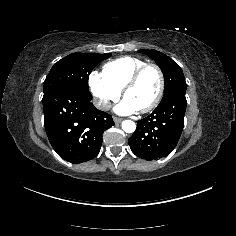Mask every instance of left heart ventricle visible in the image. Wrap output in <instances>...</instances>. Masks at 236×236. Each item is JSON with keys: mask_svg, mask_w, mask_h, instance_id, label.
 Returning <instances> with one entry per match:
<instances>
[{"mask_svg": "<svg viewBox=\"0 0 236 236\" xmlns=\"http://www.w3.org/2000/svg\"><path fill=\"white\" fill-rule=\"evenodd\" d=\"M159 85L158 74L154 69H147L136 84L130 88L125 99L129 100L138 110L149 105L156 96Z\"/></svg>", "mask_w": 236, "mask_h": 236, "instance_id": "1", "label": "left heart ventricle"}]
</instances>
